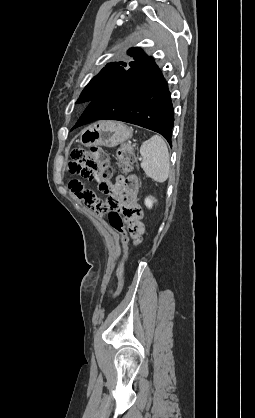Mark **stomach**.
<instances>
[{
	"label": "stomach",
	"mask_w": 255,
	"mask_h": 418,
	"mask_svg": "<svg viewBox=\"0 0 255 418\" xmlns=\"http://www.w3.org/2000/svg\"><path fill=\"white\" fill-rule=\"evenodd\" d=\"M133 135V129L117 122H99L82 131L80 142L91 147L95 145L114 147Z\"/></svg>",
	"instance_id": "0dacf381"
}]
</instances>
